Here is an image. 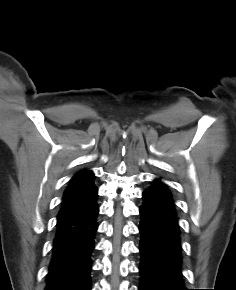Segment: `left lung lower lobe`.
I'll list each match as a JSON object with an SVG mask.
<instances>
[{
	"label": "left lung lower lobe",
	"mask_w": 236,
	"mask_h": 290,
	"mask_svg": "<svg viewBox=\"0 0 236 290\" xmlns=\"http://www.w3.org/2000/svg\"><path fill=\"white\" fill-rule=\"evenodd\" d=\"M143 199L139 290H188L182 279L180 230L172 195L157 179L143 192Z\"/></svg>",
	"instance_id": "0a47b994"
}]
</instances>
